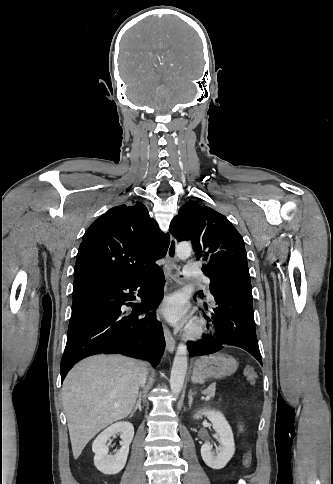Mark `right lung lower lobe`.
Segmentation results:
<instances>
[{"label":"right lung lower lobe","instance_id":"right-lung-lower-lobe-1","mask_svg":"<svg viewBox=\"0 0 333 484\" xmlns=\"http://www.w3.org/2000/svg\"><path fill=\"white\" fill-rule=\"evenodd\" d=\"M165 278L157 265L133 280L93 279L74 284L72 315L61 360V380L79 360L100 353H120L149 361L154 367L165 340L154 309L162 299ZM138 290L142 303L135 300ZM123 305L131 306L132 312Z\"/></svg>","mask_w":333,"mask_h":484}]
</instances>
